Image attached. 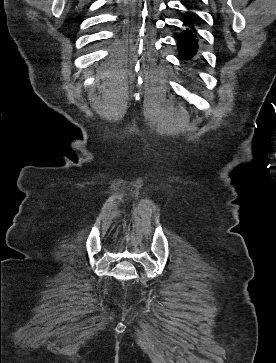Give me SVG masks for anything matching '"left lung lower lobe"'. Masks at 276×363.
<instances>
[{"label":"left lung lower lobe","mask_w":276,"mask_h":363,"mask_svg":"<svg viewBox=\"0 0 276 363\" xmlns=\"http://www.w3.org/2000/svg\"><path fill=\"white\" fill-rule=\"evenodd\" d=\"M185 6L187 8L186 19L182 20L184 28L178 37L177 46L181 59L191 60L193 58L190 64H196L200 60V56L198 53L199 35L195 27L200 18L193 12L194 8L189 5L188 1H186Z\"/></svg>","instance_id":"0a47b994"}]
</instances>
